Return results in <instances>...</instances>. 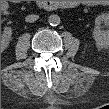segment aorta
I'll return each instance as SVG.
<instances>
[{"label":"aorta","mask_w":109,"mask_h":109,"mask_svg":"<svg viewBox=\"0 0 109 109\" xmlns=\"http://www.w3.org/2000/svg\"><path fill=\"white\" fill-rule=\"evenodd\" d=\"M48 22L51 26H58L61 22L60 17L56 14H52L48 18Z\"/></svg>","instance_id":"obj_1"}]
</instances>
